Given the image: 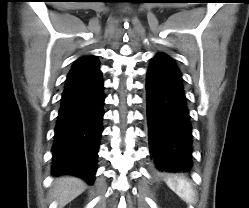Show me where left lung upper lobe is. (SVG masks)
<instances>
[{"instance_id":"5c2ea615","label":"left lung upper lobe","mask_w":249,"mask_h":208,"mask_svg":"<svg viewBox=\"0 0 249 208\" xmlns=\"http://www.w3.org/2000/svg\"><path fill=\"white\" fill-rule=\"evenodd\" d=\"M158 55H165V56H168V55H166V54H164V53H159Z\"/></svg>"}]
</instances>
